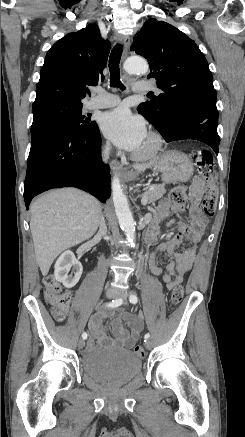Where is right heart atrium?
<instances>
[{"mask_svg":"<svg viewBox=\"0 0 245 437\" xmlns=\"http://www.w3.org/2000/svg\"><path fill=\"white\" fill-rule=\"evenodd\" d=\"M110 145L109 143L105 142L101 145L100 148V153L103 159H107L109 157L110 154Z\"/></svg>","mask_w":245,"mask_h":437,"instance_id":"1","label":"right heart atrium"}]
</instances>
